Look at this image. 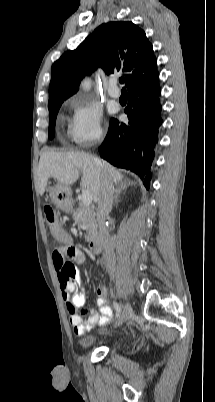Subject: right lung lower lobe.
Segmentation results:
<instances>
[{
    "mask_svg": "<svg viewBox=\"0 0 215 402\" xmlns=\"http://www.w3.org/2000/svg\"><path fill=\"white\" fill-rule=\"evenodd\" d=\"M127 124L111 119L100 156L111 164L130 169L148 188L158 128L162 124L159 75L128 90Z\"/></svg>",
    "mask_w": 215,
    "mask_h": 402,
    "instance_id": "1",
    "label": "right lung lower lobe"
}]
</instances>
